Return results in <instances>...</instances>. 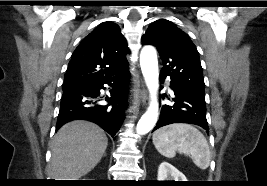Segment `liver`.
I'll return each instance as SVG.
<instances>
[{"instance_id":"1","label":"liver","mask_w":267,"mask_h":186,"mask_svg":"<svg viewBox=\"0 0 267 186\" xmlns=\"http://www.w3.org/2000/svg\"><path fill=\"white\" fill-rule=\"evenodd\" d=\"M108 144L104 131L88 121H72L56 133L48 174L55 180H78L101 160Z\"/></svg>"}]
</instances>
